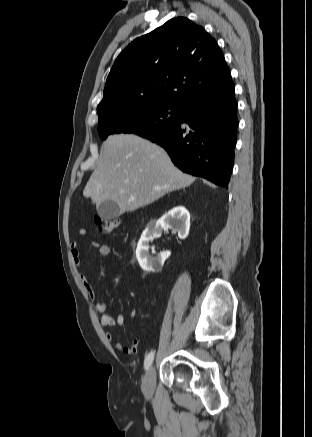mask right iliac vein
Here are the masks:
<instances>
[{
  "label": "right iliac vein",
  "instance_id": "obj_1",
  "mask_svg": "<svg viewBox=\"0 0 312 437\" xmlns=\"http://www.w3.org/2000/svg\"><path fill=\"white\" fill-rule=\"evenodd\" d=\"M155 367L151 366L146 372L143 383H142V391L144 395L148 398L152 397L155 387Z\"/></svg>",
  "mask_w": 312,
  "mask_h": 437
}]
</instances>
